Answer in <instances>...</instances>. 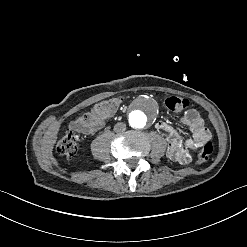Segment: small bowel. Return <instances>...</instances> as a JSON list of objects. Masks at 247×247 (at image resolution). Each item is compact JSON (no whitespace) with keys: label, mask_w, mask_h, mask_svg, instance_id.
I'll use <instances>...</instances> for the list:
<instances>
[{"label":"small bowel","mask_w":247,"mask_h":247,"mask_svg":"<svg viewBox=\"0 0 247 247\" xmlns=\"http://www.w3.org/2000/svg\"><path fill=\"white\" fill-rule=\"evenodd\" d=\"M106 118L96 117L90 123H85L79 118L73 121L69 127L78 133L91 135L104 126ZM182 122L189 128L192 134L186 139H182L165 121L157 122L156 129L164 133L167 137V156L181 165H186L191 162L193 152L202 146L208 129L205 127L204 120L195 109L187 110L182 117Z\"/></svg>","instance_id":"obj_1"}]
</instances>
